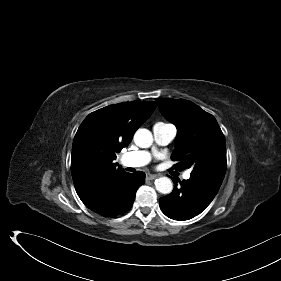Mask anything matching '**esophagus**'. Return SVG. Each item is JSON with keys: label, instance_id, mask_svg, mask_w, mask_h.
I'll use <instances>...</instances> for the list:
<instances>
[{"label": "esophagus", "instance_id": "1", "mask_svg": "<svg viewBox=\"0 0 281 281\" xmlns=\"http://www.w3.org/2000/svg\"><path fill=\"white\" fill-rule=\"evenodd\" d=\"M157 178V175H154V174H147L146 175V179L147 180H154Z\"/></svg>", "mask_w": 281, "mask_h": 281}]
</instances>
